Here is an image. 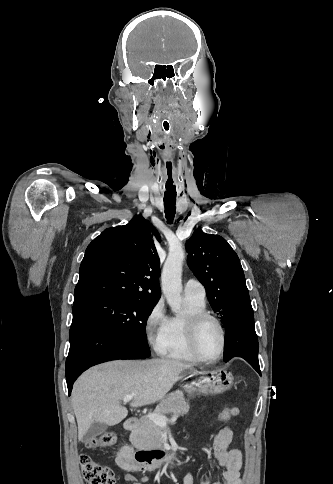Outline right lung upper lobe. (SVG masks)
Here are the masks:
<instances>
[{
	"label": "right lung upper lobe",
	"mask_w": 333,
	"mask_h": 484,
	"mask_svg": "<svg viewBox=\"0 0 333 484\" xmlns=\"http://www.w3.org/2000/svg\"><path fill=\"white\" fill-rule=\"evenodd\" d=\"M158 232L141 215L104 230L87 247L74 291V304L91 296L158 301Z\"/></svg>",
	"instance_id": "obj_1"
}]
</instances>
